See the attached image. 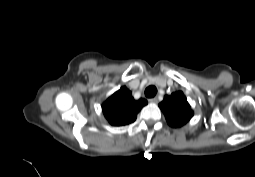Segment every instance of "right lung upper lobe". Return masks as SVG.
<instances>
[{
  "label": "right lung upper lobe",
  "mask_w": 255,
  "mask_h": 177,
  "mask_svg": "<svg viewBox=\"0 0 255 177\" xmlns=\"http://www.w3.org/2000/svg\"><path fill=\"white\" fill-rule=\"evenodd\" d=\"M146 104L145 99L135 100L131 91L124 86L102 104V110L111 125L123 126L134 122L137 113Z\"/></svg>",
  "instance_id": "1"
}]
</instances>
